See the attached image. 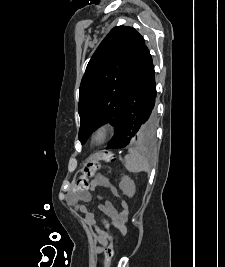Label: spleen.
<instances>
[{
    "label": "spleen",
    "instance_id": "spleen-1",
    "mask_svg": "<svg viewBox=\"0 0 225 267\" xmlns=\"http://www.w3.org/2000/svg\"><path fill=\"white\" fill-rule=\"evenodd\" d=\"M125 167L129 172H150L147 159L134 149H129V154L125 156Z\"/></svg>",
    "mask_w": 225,
    "mask_h": 267
}]
</instances>
